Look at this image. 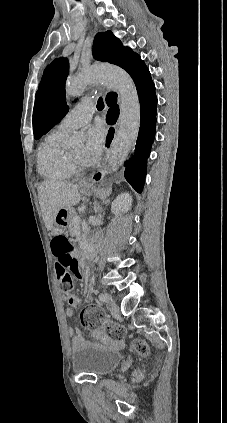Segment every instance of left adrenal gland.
Returning a JSON list of instances; mask_svg holds the SVG:
<instances>
[{
	"instance_id": "1",
	"label": "left adrenal gland",
	"mask_w": 227,
	"mask_h": 423,
	"mask_svg": "<svg viewBox=\"0 0 227 423\" xmlns=\"http://www.w3.org/2000/svg\"><path fill=\"white\" fill-rule=\"evenodd\" d=\"M98 210H101V211H103V210H102V208H98Z\"/></svg>"
}]
</instances>
